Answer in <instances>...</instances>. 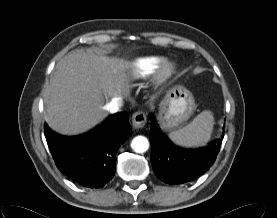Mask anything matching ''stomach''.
Masks as SVG:
<instances>
[{
  "mask_svg": "<svg viewBox=\"0 0 277 218\" xmlns=\"http://www.w3.org/2000/svg\"><path fill=\"white\" fill-rule=\"evenodd\" d=\"M196 104L191 92L181 85L170 88L159 108V122L163 129L174 130L194 113Z\"/></svg>",
  "mask_w": 277,
  "mask_h": 218,
  "instance_id": "obj_1",
  "label": "stomach"
}]
</instances>
